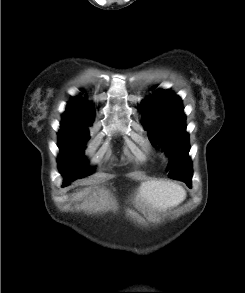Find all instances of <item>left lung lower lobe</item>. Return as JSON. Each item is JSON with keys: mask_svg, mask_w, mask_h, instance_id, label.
<instances>
[{"mask_svg": "<svg viewBox=\"0 0 245 293\" xmlns=\"http://www.w3.org/2000/svg\"><path fill=\"white\" fill-rule=\"evenodd\" d=\"M180 178H181L180 180H182L183 182H185L188 185V187L191 188V179H192V176L185 175V176H182Z\"/></svg>", "mask_w": 245, "mask_h": 293, "instance_id": "obj_1", "label": "left lung lower lobe"}]
</instances>
